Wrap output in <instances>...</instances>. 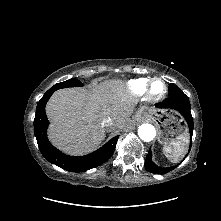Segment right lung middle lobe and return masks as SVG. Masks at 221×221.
<instances>
[{
	"instance_id": "1",
	"label": "right lung middle lobe",
	"mask_w": 221,
	"mask_h": 221,
	"mask_svg": "<svg viewBox=\"0 0 221 221\" xmlns=\"http://www.w3.org/2000/svg\"><path fill=\"white\" fill-rule=\"evenodd\" d=\"M78 86H82V83L79 80L75 79V78H71L67 81L57 83L52 88H50L48 91H53L54 92V91H56L58 89H61V88L78 87Z\"/></svg>"
}]
</instances>
